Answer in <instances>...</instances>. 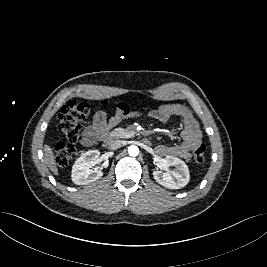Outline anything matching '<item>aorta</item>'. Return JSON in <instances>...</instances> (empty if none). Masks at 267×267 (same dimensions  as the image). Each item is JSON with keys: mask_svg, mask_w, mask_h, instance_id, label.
I'll return each mask as SVG.
<instances>
[{"mask_svg": "<svg viewBox=\"0 0 267 267\" xmlns=\"http://www.w3.org/2000/svg\"><path fill=\"white\" fill-rule=\"evenodd\" d=\"M128 154L132 157H136L139 154V148L135 145L128 147Z\"/></svg>", "mask_w": 267, "mask_h": 267, "instance_id": "1", "label": "aorta"}]
</instances>
